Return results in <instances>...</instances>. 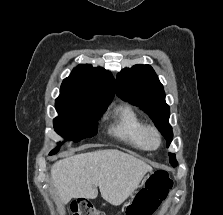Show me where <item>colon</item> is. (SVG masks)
Segmentation results:
<instances>
[{
	"label": "colon",
	"mask_w": 223,
	"mask_h": 215,
	"mask_svg": "<svg viewBox=\"0 0 223 215\" xmlns=\"http://www.w3.org/2000/svg\"><path fill=\"white\" fill-rule=\"evenodd\" d=\"M172 187V180L164 170H158L147 181L127 209L128 215H152ZM72 215H105L92 204L77 201L71 204Z\"/></svg>",
	"instance_id": "obj_1"
}]
</instances>
